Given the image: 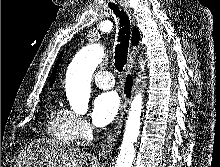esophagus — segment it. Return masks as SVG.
Listing matches in <instances>:
<instances>
[{"instance_id": "obj_1", "label": "esophagus", "mask_w": 220, "mask_h": 167, "mask_svg": "<svg viewBox=\"0 0 220 167\" xmlns=\"http://www.w3.org/2000/svg\"><path fill=\"white\" fill-rule=\"evenodd\" d=\"M125 11L128 14L131 23L133 24L134 19L129 7L125 6ZM134 55H135L134 51L130 52L128 63L125 67L124 75H127L130 72L132 64L134 62ZM126 107H127V98L124 94H122L121 104H120L119 112L116 116L114 128L111 131V133L108 135L104 143L102 144L101 149L98 152L99 158H106L112 152L116 144V141L121 133Z\"/></svg>"}]
</instances>
